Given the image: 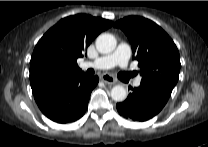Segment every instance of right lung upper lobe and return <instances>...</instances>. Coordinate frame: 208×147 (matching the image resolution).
<instances>
[{
	"mask_svg": "<svg viewBox=\"0 0 208 147\" xmlns=\"http://www.w3.org/2000/svg\"><path fill=\"white\" fill-rule=\"evenodd\" d=\"M106 19L77 14L61 19L37 43L30 62L32 92L65 83L83 73L77 65L90 43L112 26Z\"/></svg>",
	"mask_w": 208,
	"mask_h": 147,
	"instance_id": "cb5924a9",
	"label": "right lung upper lobe"
}]
</instances>
